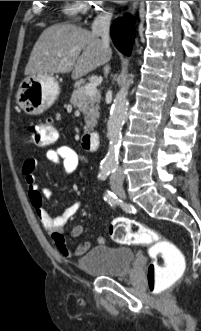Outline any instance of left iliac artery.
I'll return each mask as SVG.
<instances>
[{
  "label": "left iliac artery",
  "instance_id": "left-iliac-artery-1",
  "mask_svg": "<svg viewBox=\"0 0 201 331\" xmlns=\"http://www.w3.org/2000/svg\"><path fill=\"white\" fill-rule=\"evenodd\" d=\"M109 175V173L107 172V173H102V174H100L99 175V177L101 178V179H104L106 176H108Z\"/></svg>",
  "mask_w": 201,
  "mask_h": 331
}]
</instances>
